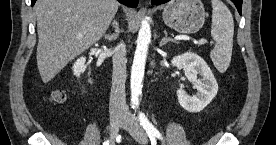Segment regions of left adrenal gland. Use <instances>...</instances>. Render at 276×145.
<instances>
[{"instance_id": "left-adrenal-gland-1", "label": "left adrenal gland", "mask_w": 276, "mask_h": 145, "mask_svg": "<svg viewBox=\"0 0 276 145\" xmlns=\"http://www.w3.org/2000/svg\"><path fill=\"white\" fill-rule=\"evenodd\" d=\"M164 38L161 40V42H160V47H162L163 45H165L166 43H168L169 41H171V42H174V43H178L177 41H175L174 39H171V38H169V37H167L168 36V34H167V31L166 30H164Z\"/></svg>"}]
</instances>
